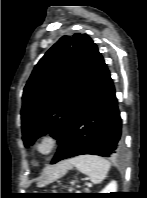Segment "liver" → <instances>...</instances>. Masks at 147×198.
Listing matches in <instances>:
<instances>
[{"instance_id":"obj_1","label":"liver","mask_w":147,"mask_h":198,"mask_svg":"<svg viewBox=\"0 0 147 198\" xmlns=\"http://www.w3.org/2000/svg\"><path fill=\"white\" fill-rule=\"evenodd\" d=\"M73 166L72 160H65L57 163L56 165L48 168L42 177V180L38 183V186H44L54 180L64 176L66 172Z\"/></svg>"}]
</instances>
